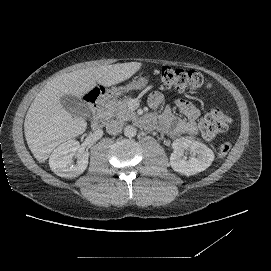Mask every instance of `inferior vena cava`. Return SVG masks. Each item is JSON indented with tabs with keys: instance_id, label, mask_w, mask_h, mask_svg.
<instances>
[{
	"instance_id": "602c4592",
	"label": "inferior vena cava",
	"mask_w": 271,
	"mask_h": 271,
	"mask_svg": "<svg viewBox=\"0 0 271 271\" xmlns=\"http://www.w3.org/2000/svg\"><path fill=\"white\" fill-rule=\"evenodd\" d=\"M123 125V121L118 119H111L106 126V131L109 134H117L122 131Z\"/></svg>"
}]
</instances>
